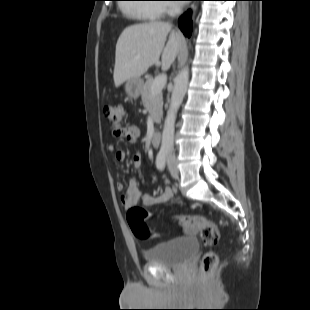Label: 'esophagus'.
<instances>
[{"label": "esophagus", "mask_w": 310, "mask_h": 310, "mask_svg": "<svg viewBox=\"0 0 310 310\" xmlns=\"http://www.w3.org/2000/svg\"><path fill=\"white\" fill-rule=\"evenodd\" d=\"M196 8H197L196 5H193V6H192V13H193V15H194V13H195Z\"/></svg>", "instance_id": "obj_1"}]
</instances>
